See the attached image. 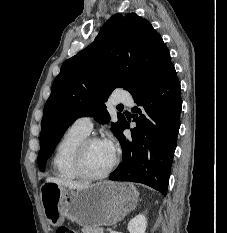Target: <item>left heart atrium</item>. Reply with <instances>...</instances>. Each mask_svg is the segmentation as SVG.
Wrapping results in <instances>:
<instances>
[{
  "label": "left heart atrium",
  "mask_w": 227,
  "mask_h": 233,
  "mask_svg": "<svg viewBox=\"0 0 227 233\" xmlns=\"http://www.w3.org/2000/svg\"><path fill=\"white\" fill-rule=\"evenodd\" d=\"M102 142L110 149L111 152H113V153L115 152L113 139L111 137H107Z\"/></svg>",
  "instance_id": "39dd6f15"
}]
</instances>
